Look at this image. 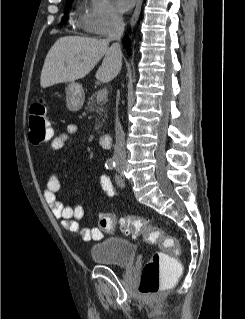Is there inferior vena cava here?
Listing matches in <instances>:
<instances>
[{"label":"inferior vena cava","mask_w":245,"mask_h":319,"mask_svg":"<svg viewBox=\"0 0 245 319\" xmlns=\"http://www.w3.org/2000/svg\"><path fill=\"white\" fill-rule=\"evenodd\" d=\"M124 31V21L120 14L114 13L111 18V29L108 34V41H116L112 44L111 50L115 54L122 58V51L120 46V40ZM113 158L115 162H125L126 161V152H125V133L121 126L118 114H116L115 119V147Z\"/></svg>","instance_id":"inferior-vena-cava-1"}]
</instances>
